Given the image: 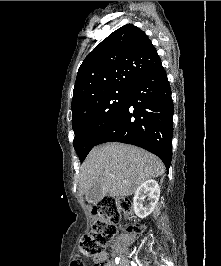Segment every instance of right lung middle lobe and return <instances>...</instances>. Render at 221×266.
<instances>
[{
	"instance_id": "right-lung-middle-lobe-1",
	"label": "right lung middle lobe",
	"mask_w": 221,
	"mask_h": 266,
	"mask_svg": "<svg viewBox=\"0 0 221 266\" xmlns=\"http://www.w3.org/2000/svg\"><path fill=\"white\" fill-rule=\"evenodd\" d=\"M129 92L130 87H119L97 93L88 98L72 116L74 148L81 161H84L102 132L123 110Z\"/></svg>"
}]
</instances>
